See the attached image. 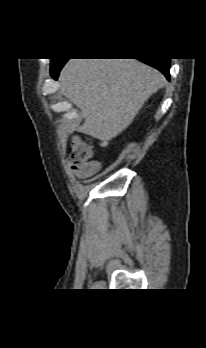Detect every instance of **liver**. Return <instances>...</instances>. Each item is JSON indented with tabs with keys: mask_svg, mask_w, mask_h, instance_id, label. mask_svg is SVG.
<instances>
[{
	"mask_svg": "<svg viewBox=\"0 0 206 348\" xmlns=\"http://www.w3.org/2000/svg\"><path fill=\"white\" fill-rule=\"evenodd\" d=\"M62 94L81 110L79 130L107 141L125 130L164 76L137 59H70L59 75Z\"/></svg>",
	"mask_w": 206,
	"mask_h": 348,
	"instance_id": "1",
	"label": "liver"
}]
</instances>
